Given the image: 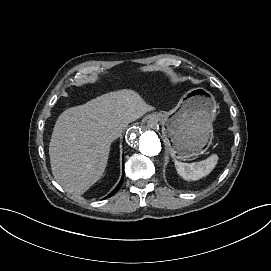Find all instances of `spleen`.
<instances>
[{"label":"spleen","mask_w":271,"mask_h":271,"mask_svg":"<svg viewBox=\"0 0 271 271\" xmlns=\"http://www.w3.org/2000/svg\"><path fill=\"white\" fill-rule=\"evenodd\" d=\"M217 161V155L213 154L208 158L193 163H186L181 161H175L178 172L185 178L197 179L210 172Z\"/></svg>","instance_id":"3e777b00"}]
</instances>
